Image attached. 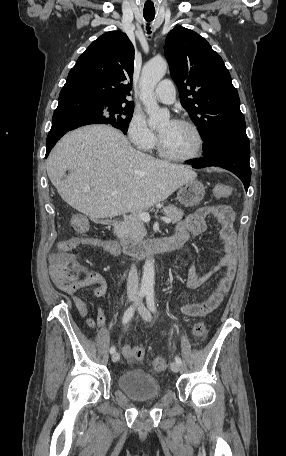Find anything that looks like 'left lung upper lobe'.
I'll return each mask as SVG.
<instances>
[{
  "mask_svg": "<svg viewBox=\"0 0 286 456\" xmlns=\"http://www.w3.org/2000/svg\"><path fill=\"white\" fill-rule=\"evenodd\" d=\"M164 50L181 103L198 126L204 147L220 137L247 138L238 92L210 44L196 32L177 26L168 33Z\"/></svg>",
  "mask_w": 286,
  "mask_h": 456,
  "instance_id": "1",
  "label": "left lung upper lobe"
}]
</instances>
